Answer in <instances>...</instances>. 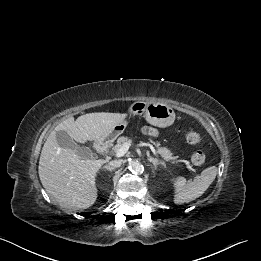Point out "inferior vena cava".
Instances as JSON below:
<instances>
[{"label":"inferior vena cava","instance_id":"obj_1","mask_svg":"<svg viewBox=\"0 0 261 261\" xmlns=\"http://www.w3.org/2000/svg\"><path fill=\"white\" fill-rule=\"evenodd\" d=\"M122 165V160L121 159H114L108 163V166L111 168L115 169L118 168Z\"/></svg>","mask_w":261,"mask_h":261}]
</instances>
